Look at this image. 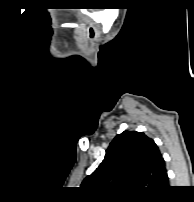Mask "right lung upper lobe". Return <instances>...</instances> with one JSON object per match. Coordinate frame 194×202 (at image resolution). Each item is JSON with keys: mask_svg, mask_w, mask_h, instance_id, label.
Returning <instances> with one entry per match:
<instances>
[{"mask_svg": "<svg viewBox=\"0 0 194 202\" xmlns=\"http://www.w3.org/2000/svg\"><path fill=\"white\" fill-rule=\"evenodd\" d=\"M165 161L142 132L124 131L110 143L104 160L82 185L99 195L152 197L168 186Z\"/></svg>", "mask_w": 194, "mask_h": 202, "instance_id": "right-lung-upper-lobe-1", "label": "right lung upper lobe"}]
</instances>
